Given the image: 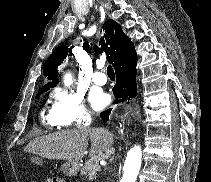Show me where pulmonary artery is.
<instances>
[{
  "label": "pulmonary artery",
  "instance_id": "1",
  "mask_svg": "<svg viewBox=\"0 0 211 182\" xmlns=\"http://www.w3.org/2000/svg\"><path fill=\"white\" fill-rule=\"evenodd\" d=\"M92 80L97 85H104L107 81V76L102 70V65L98 66L97 71L94 72Z\"/></svg>",
  "mask_w": 211,
  "mask_h": 182
}]
</instances>
